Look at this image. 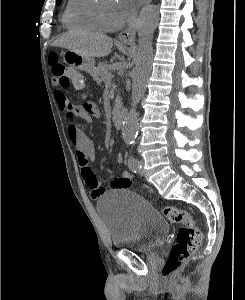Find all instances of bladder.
Here are the masks:
<instances>
[{
  "label": "bladder",
  "mask_w": 245,
  "mask_h": 300,
  "mask_svg": "<svg viewBox=\"0 0 245 300\" xmlns=\"http://www.w3.org/2000/svg\"><path fill=\"white\" fill-rule=\"evenodd\" d=\"M96 207L113 248L151 253L169 233L166 220L146 199L132 191H108L99 197Z\"/></svg>",
  "instance_id": "bladder-1"
}]
</instances>
